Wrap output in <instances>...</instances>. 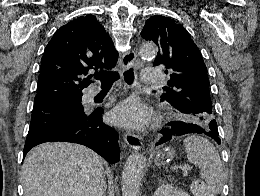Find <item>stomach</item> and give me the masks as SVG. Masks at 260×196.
Masks as SVG:
<instances>
[{"instance_id":"stomach-1","label":"stomach","mask_w":260,"mask_h":196,"mask_svg":"<svg viewBox=\"0 0 260 196\" xmlns=\"http://www.w3.org/2000/svg\"><path fill=\"white\" fill-rule=\"evenodd\" d=\"M175 156V152L173 148H163L161 152H158L155 160L159 162V164H167V162H172Z\"/></svg>"}]
</instances>
